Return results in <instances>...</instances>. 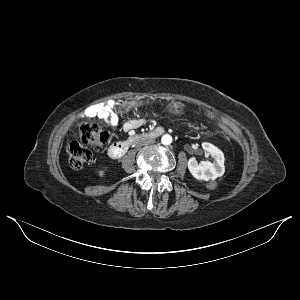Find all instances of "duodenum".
<instances>
[{
	"instance_id": "410a0bca",
	"label": "duodenum",
	"mask_w": 300,
	"mask_h": 300,
	"mask_svg": "<svg viewBox=\"0 0 300 300\" xmlns=\"http://www.w3.org/2000/svg\"><path fill=\"white\" fill-rule=\"evenodd\" d=\"M161 132L159 130H153L149 133H145V134H132L130 135L127 139L120 141V142H116L114 144H112L108 150H107V154L111 157V158H120L121 156H123L130 147H132L136 142L140 141L141 139H144L146 137L150 138V137H156L157 135H159Z\"/></svg>"
}]
</instances>
